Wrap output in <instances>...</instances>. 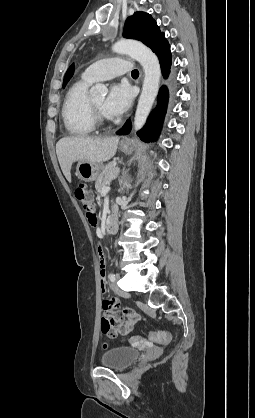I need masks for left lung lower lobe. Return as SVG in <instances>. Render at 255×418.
<instances>
[{
    "label": "left lung lower lobe",
    "mask_w": 255,
    "mask_h": 418,
    "mask_svg": "<svg viewBox=\"0 0 255 418\" xmlns=\"http://www.w3.org/2000/svg\"><path fill=\"white\" fill-rule=\"evenodd\" d=\"M160 61L162 74L165 78L168 77L171 67V52L168 41H164L162 45L155 51ZM168 101V90L165 86H162L158 94V104L156 109L151 114L147 124L137 134L141 140L149 142V139H156L158 136L163 118L166 112V106ZM131 120H127L124 126L117 132L118 135L128 134L131 130Z\"/></svg>",
    "instance_id": "left-lung-lower-lobe-1"
}]
</instances>
